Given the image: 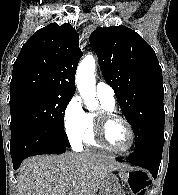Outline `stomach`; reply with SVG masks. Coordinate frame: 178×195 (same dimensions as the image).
Segmentation results:
<instances>
[{
    "mask_svg": "<svg viewBox=\"0 0 178 195\" xmlns=\"http://www.w3.org/2000/svg\"><path fill=\"white\" fill-rule=\"evenodd\" d=\"M128 180L127 170H112L105 177L98 195H127Z\"/></svg>",
    "mask_w": 178,
    "mask_h": 195,
    "instance_id": "0dacf381",
    "label": "stomach"
}]
</instances>
